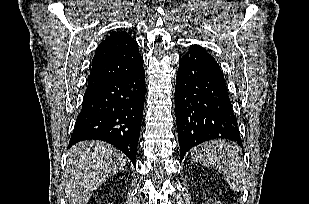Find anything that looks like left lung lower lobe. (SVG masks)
<instances>
[{
    "instance_id": "left-lung-lower-lobe-1",
    "label": "left lung lower lobe",
    "mask_w": 309,
    "mask_h": 204,
    "mask_svg": "<svg viewBox=\"0 0 309 204\" xmlns=\"http://www.w3.org/2000/svg\"><path fill=\"white\" fill-rule=\"evenodd\" d=\"M175 110L181 158L192 147L216 138L242 146L223 72L203 49L190 46L179 60Z\"/></svg>"
}]
</instances>
